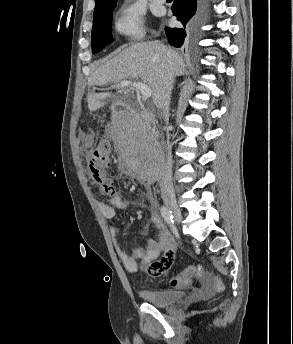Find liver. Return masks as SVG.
Instances as JSON below:
<instances>
[{
	"label": "liver",
	"mask_w": 293,
	"mask_h": 344,
	"mask_svg": "<svg viewBox=\"0 0 293 344\" xmlns=\"http://www.w3.org/2000/svg\"><path fill=\"white\" fill-rule=\"evenodd\" d=\"M166 67H171L174 75L181 76L185 72L186 64L177 51L161 43L154 41L135 43L101 65L88 82L90 85L103 86L110 82L119 83L127 79L141 80L151 88L152 99L155 103ZM128 87L122 89L125 95L131 90ZM109 97H112L111 92L89 94L87 99L89 110L96 111L103 107L104 100Z\"/></svg>",
	"instance_id": "obj_1"
}]
</instances>
